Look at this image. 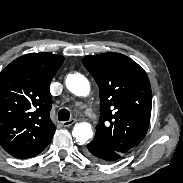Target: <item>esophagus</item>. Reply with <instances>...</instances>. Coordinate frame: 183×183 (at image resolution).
Masks as SVG:
<instances>
[{
  "label": "esophagus",
  "instance_id": "obj_1",
  "mask_svg": "<svg viewBox=\"0 0 183 183\" xmlns=\"http://www.w3.org/2000/svg\"><path fill=\"white\" fill-rule=\"evenodd\" d=\"M75 122H76L75 119H70V120H68V121H63V122H61V124H62V126H64V127H69V126L73 125Z\"/></svg>",
  "mask_w": 183,
  "mask_h": 183
}]
</instances>
